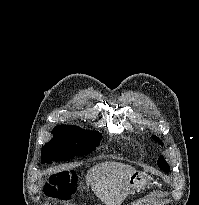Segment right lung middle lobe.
<instances>
[{"instance_id": "obj_1", "label": "right lung middle lobe", "mask_w": 199, "mask_h": 205, "mask_svg": "<svg viewBox=\"0 0 199 205\" xmlns=\"http://www.w3.org/2000/svg\"><path fill=\"white\" fill-rule=\"evenodd\" d=\"M53 138L41 151V163L69 160L76 156L89 154L99 145L101 135L96 131L81 129L77 126L58 125Z\"/></svg>"}]
</instances>
